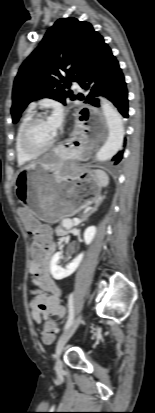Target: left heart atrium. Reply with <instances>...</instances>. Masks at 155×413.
Returning a JSON list of instances; mask_svg holds the SVG:
<instances>
[{"mask_svg": "<svg viewBox=\"0 0 155 413\" xmlns=\"http://www.w3.org/2000/svg\"><path fill=\"white\" fill-rule=\"evenodd\" d=\"M63 119H64V115H63V110L61 109V107L60 106L54 107L52 114L48 118V123L55 133H57L58 130L61 128L63 124Z\"/></svg>", "mask_w": 155, "mask_h": 413, "instance_id": "left-heart-atrium-1", "label": "left heart atrium"}]
</instances>
